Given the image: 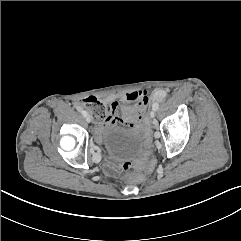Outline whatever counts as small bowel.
Segmentation results:
<instances>
[{
  "mask_svg": "<svg viewBox=\"0 0 241 241\" xmlns=\"http://www.w3.org/2000/svg\"><path fill=\"white\" fill-rule=\"evenodd\" d=\"M157 97V96H155ZM110 103L114 109H120L121 116L113 117L109 124L117 123L118 121L122 124L137 130H144L146 125L141 122L142 112L150 102V89L148 87H141L138 91L129 92L126 94H117L109 98ZM103 132V125L98 124L95 127V136L98 141L101 140ZM107 171L109 174L112 173V169L108 166Z\"/></svg>",
  "mask_w": 241,
  "mask_h": 241,
  "instance_id": "obj_1",
  "label": "small bowel"
}]
</instances>
